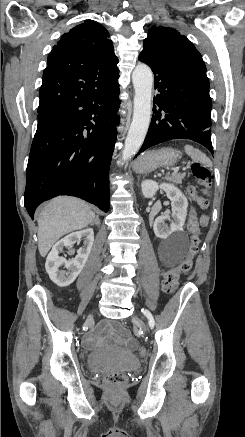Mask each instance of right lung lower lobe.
<instances>
[{"instance_id": "1", "label": "right lung lower lobe", "mask_w": 245, "mask_h": 437, "mask_svg": "<svg viewBox=\"0 0 245 437\" xmlns=\"http://www.w3.org/2000/svg\"><path fill=\"white\" fill-rule=\"evenodd\" d=\"M118 95L117 79L100 92L63 101L38 117L24 193L32 219L39 204L58 195L79 197L108 212Z\"/></svg>"}]
</instances>
